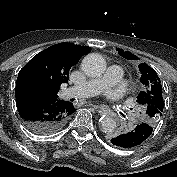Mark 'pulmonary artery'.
Listing matches in <instances>:
<instances>
[{
    "mask_svg": "<svg viewBox=\"0 0 177 177\" xmlns=\"http://www.w3.org/2000/svg\"><path fill=\"white\" fill-rule=\"evenodd\" d=\"M124 76V70L119 65H111L106 73L98 78L87 80L65 90L69 98H88L99 94L106 88L117 84Z\"/></svg>",
    "mask_w": 177,
    "mask_h": 177,
    "instance_id": "obj_1",
    "label": "pulmonary artery"
}]
</instances>
